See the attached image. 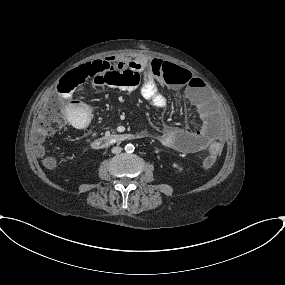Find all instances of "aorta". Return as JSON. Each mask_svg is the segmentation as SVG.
Masks as SVG:
<instances>
[{
	"label": "aorta",
	"mask_w": 285,
	"mask_h": 285,
	"mask_svg": "<svg viewBox=\"0 0 285 285\" xmlns=\"http://www.w3.org/2000/svg\"><path fill=\"white\" fill-rule=\"evenodd\" d=\"M135 147L133 144L129 143L125 146V151L128 153H132L134 151Z\"/></svg>",
	"instance_id": "762f6f07"
}]
</instances>
